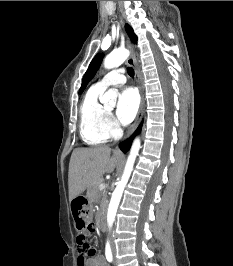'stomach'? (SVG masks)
<instances>
[{
    "mask_svg": "<svg viewBox=\"0 0 233 266\" xmlns=\"http://www.w3.org/2000/svg\"><path fill=\"white\" fill-rule=\"evenodd\" d=\"M71 209L75 221L76 232H87L91 225H94V220H91L89 216L88 204H90V196H84V194H77L72 200Z\"/></svg>",
    "mask_w": 233,
    "mask_h": 266,
    "instance_id": "1",
    "label": "stomach"
}]
</instances>
